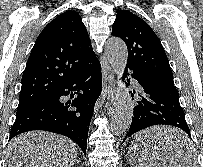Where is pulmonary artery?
Returning a JSON list of instances; mask_svg holds the SVG:
<instances>
[{
  "mask_svg": "<svg viewBox=\"0 0 203 167\" xmlns=\"http://www.w3.org/2000/svg\"><path fill=\"white\" fill-rule=\"evenodd\" d=\"M131 81L135 86H138V82L135 79H131Z\"/></svg>",
  "mask_w": 203,
  "mask_h": 167,
  "instance_id": "obj_1",
  "label": "pulmonary artery"
}]
</instances>
